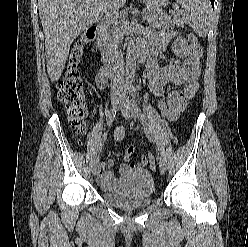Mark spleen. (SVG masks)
<instances>
[{
    "label": "spleen",
    "instance_id": "spleen-1",
    "mask_svg": "<svg viewBox=\"0 0 248 247\" xmlns=\"http://www.w3.org/2000/svg\"><path fill=\"white\" fill-rule=\"evenodd\" d=\"M183 8L182 20L199 37H206L210 28L212 9L209 0H176Z\"/></svg>",
    "mask_w": 248,
    "mask_h": 247
}]
</instances>
